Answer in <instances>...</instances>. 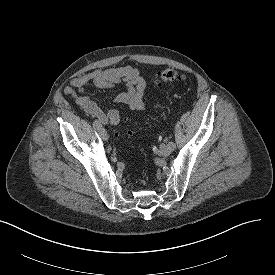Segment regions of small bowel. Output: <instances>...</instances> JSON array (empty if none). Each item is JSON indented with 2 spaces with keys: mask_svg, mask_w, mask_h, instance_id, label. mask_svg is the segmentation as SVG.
Masks as SVG:
<instances>
[{
  "mask_svg": "<svg viewBox=\"0 0 275 275\" xmlns=\"http://www.w3.org/2000/svg\"><path fill=\"white\" fill-rule=\"evenodd\" d=\"M124 82L127 86L125 92H115L114 100L124 104L131 112L142 111L146 106L147 81L142 73L135 67H111L96 69L90 73L75 77L70 80L63 90L65 95L71 96L80 110L87 116L97 119L104 125H116L121 119V114L116 109L103 111L84 89L93 86L98 89L115 90V84Z\"/></svg>",
  "mask_w": 275,
  "mask_h": 275,
  "instance_id": "c3829d8e",
  "label": "small bowel"
}]
</instances>
